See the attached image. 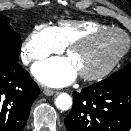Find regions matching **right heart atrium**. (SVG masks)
I'll use <instances>...</instances> for the list:
<instances>
[{
	"instance_id": "right-heart-atrium-1",
	"label": "right heart atrium",
	"mask_w": 131,
	"mask_h": 131,
	"mask_svg": "<svg viewBox=\"0 0 131 131\" xmlns=\"http://www.w3.org/2000/svg\"><path fill=\"white\" fill-rule=\"evenodd\" d=\"M64 46L57 39L52 27L36 26L22 46V59L25 63L40 61L53 53L63 50Z\"/></svg>"
}]
</instances>
